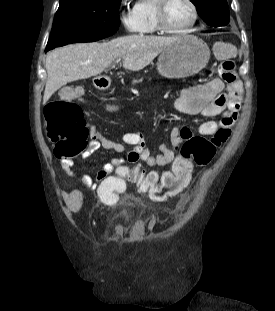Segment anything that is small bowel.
Segmentation results:
<instances>
[{
  "mask_svg": "<svg viewBox=\"0 0 275 311\" xmlns=\"http://www.w3.org/2000/svg\"><path fill=\"white\" fill-rule=\"evenodd\" d=\"M226 52L228 57H236L237 50L232 45H227ZM225 89V92L223 90ZM242 97V85L239 80H233L225 83L220 78H212L209 81L191 87L185 90L177 100L175 107L178 111L189 115H202L212 117L221 115V121H205L199 124L197 132L203 135L211 134L218 126L222 125L228 119H231L229 125L232 126L237 118L238 110ZM192 135L189 127H174L171 131L172 147L166 144L158 146V153L152 154L146 145L141 132H126L122 136V142H118L93 131L91 140L87 149L83 152V157H89L100 148L111 150L116 153L125 152L128 160H141L149 166H166L170 164L176 155V151L181 144ZM125 144L132 145L133 149H126ZM125 163L122 158H113L105 163L98 171L96 179L93 180L89 175L77 176L73 172V161L63 160L62 167L68 176L78 180L89 189H95L97 183H103L106 175H111L116 169ZM63 190H70V183H63ZM82 197L79 187H72L69 194H64L63 199L67 207V213H84V206L81 200H75ZM74 200H71V199Z\"/></svg>",
  "mask_w": 275,
  "mask_h": 311,
  "instance_id": "c3829d8e",
  "label": "small bowel"
}]
</instances>
